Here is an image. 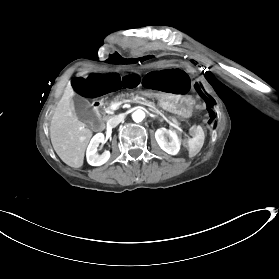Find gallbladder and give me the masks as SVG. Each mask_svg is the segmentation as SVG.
Wrapping results in <instances>:
<instances>
[{"instance_id":"gallbladder-1","label":"gallbladder","mask_w":279,"mask_h":279,"mask_svg":"<svg viewBox=\"0 0 279 279\" xmlns=\"http://www.w3.org/2000/svg\"><path fill=\"white\" fill-rule=\"evenodd\" d=\"M75 112L78 118L88 124L90 128L97 130L101 128L103 121L101 117L97 116L86 98L75 96L73 98Z\"/></svg>"}]
</instances>
